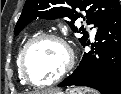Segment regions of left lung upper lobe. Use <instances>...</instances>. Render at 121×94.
<instances>
[{
	"label": "left lung upper lobe",
	"instance_id": "5c2ea615",
	"mask_svg": "<svg viewBox=\"0 0 121 94\" xmlns=\"http://www.w3.org/2000/svg\"><path fill=\"white\" fill-rule=\"evenodd\" d=\"M86 11L83 17L75 9ZM121 10L119 0H26L22 14L16 24L14 33L17 35L27 24L37 17L53 20L55 18L66 17L73 31H77L74 22L83 18L87 24L99 26L103 21L114 16ZM80 28L83 36L79 39L82 45H85L88 39L87 31Z\"/></svg>",
	"mask_w": 121,
	"mask_h": 94
}]
</instances>
